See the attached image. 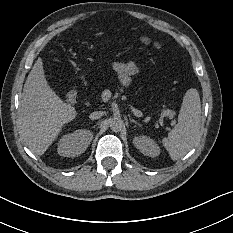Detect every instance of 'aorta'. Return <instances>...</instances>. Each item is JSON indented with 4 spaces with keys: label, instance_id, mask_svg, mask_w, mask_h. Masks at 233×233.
Returning a JSON list of instances; mask_svg holds the SVG:
<instances>
[{
    "label": "aorta",
    "instance_id": "aorta-1",
    "mask_svg": "<svg viewBox=\"0 0 233 233\" xmlns=\"http://www.w3.org/2000/svg\"><path fill=\"white\" fill-rule=\"evenodd\" d=\"M120 126H121V124L118 121L112 120V122H111V128L114 131H117L120 128Z\"/></svg>",
    "mask_w": 233,
    "mask_h": 233
}]
</instances>
